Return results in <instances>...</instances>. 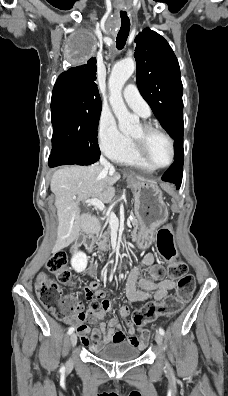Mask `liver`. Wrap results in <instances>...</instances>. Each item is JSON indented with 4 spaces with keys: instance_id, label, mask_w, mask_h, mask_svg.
<instances>
[{
    "instance_id": "obj_1",
    "label": "liver",
    "mask_w": 228,
    "mask_h": 396,
    "mask_svg": "<svg viewBox=\"0 0 228 396\" xmlns=\"http://www.w3.org/2000/svg\"><path fill=\"white\" fill-rule=\"evenodd\" d=\"M115 170L107 171L99 164L91 166H69L57 170L51 180V191L55 194L58 216L57 240L53 251L57 252L73 243L81 232H98V220L88 213L80 214L79 205L96 198L104 203L111 202L119 180ZM139 180L144 179L137 177Z\"/></svg>"
}]
</instances>
